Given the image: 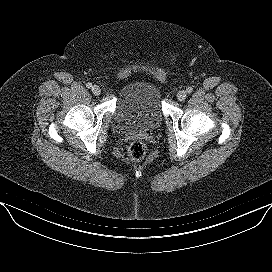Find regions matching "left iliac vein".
<instances>
[{
    "label": "left iliac vein",
    "instance_id": "obj_1",
    "mask_svg": "<svg viewBox=\"0 0 272 272\" xmlns=\"http://www.w3.org/2000/svg\"><path fill=\"white\" fill-rule=\"evenodd\" d=\"M186 97H187V93H186V91H184V90H181V91H179V92L177 93V99H178L179 101H184V100L186 99Z\"/></svg>",
    "mask_w": 272,
    "mask_h": 272
}]
</instances>
